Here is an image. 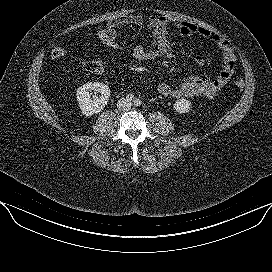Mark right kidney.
Segmentation results:
<instances>
[{"mask_svg": "<svg viewBox=\"0 0 272 272\" xmlns=\"http://www.w3.org/2000/svg\"><path fill=\"white\" fill-rule=\"evenodd\" d=\"M92 91L100 93V96L92 99ZM76 95L82 113L86 116H91L101 112L107 105L110 97V89L104 83L90 82L79 87Z\"/></svg>", "mask_w": 272, "mask_h": 272, "instance_id": "1", "label": "right kidney"}]
</instances>
